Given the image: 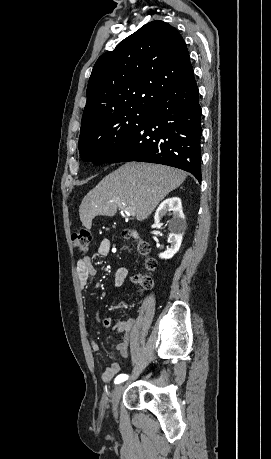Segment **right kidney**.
Instances as JSON below:
<instances>
[{
	"label": "right kidney",
	"instance_id": "1",
	"mask_svg": "<svg viewBox=\"0 0 271 459\" xmlns=\"http://www.w3.org/2000/svg\"><path fill=\"white\" fill-rule=\"evenodd\" d=\"M162 216H172L168 228L170 231L168 241L171 245L167 247L166 251L159 253V257L169 259V257H173L174 253L179 251L183 233L187 228L180 198L174 196V198H168V200H164V202L160 204L158 210H156L154 226H159Z\"/></svg>",
	"mask_w": 271,
	"mask_h": 459
}]
</instances>
